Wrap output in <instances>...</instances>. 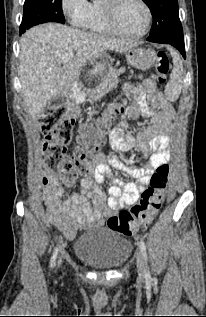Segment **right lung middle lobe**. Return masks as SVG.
Returning a JSON list of instances; mask_svg holds the SVG:
<instances>
[{
	"label": "right lung middle lobe",
	"instance_id": "1",
	"mask_svg": "<svg viewBox=\"0 0 206 317\" xmlns=\"http://www.w3.org/2000/svg\"><path fill=\"white\" fill-rule=\"evenodd\" d=\"M45 22H65L62 0H25L20 33Z\"/></svg>",
	"mask_w": 206,
	"mask_h": 317
}]
</instances>
